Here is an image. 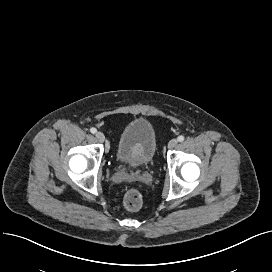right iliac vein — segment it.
<instances>
[{
	"mask_svg": "<svg viewBox=\"0 0 272 272\" xmlns=\"http://www.w3.org/2000/svg\"><path fill=\"white\" fill-rule=\"evenodd\" d=\"M95 136H96V138H97V140L99 142H104L105 141V136H104V134L102 132H96Z\"/></svg>",
	"mask_w": 272,
	"mask_h": 272,
	"instance_id": "right-iliac-vein-1",
	"label": "right iliac vein"
}]
</instances>
